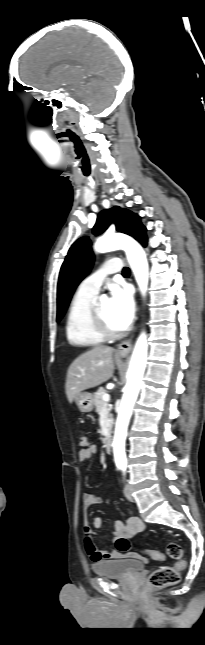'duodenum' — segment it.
<instances>
[{"instance_id":"obj_1","label":"duodenum","mask_w":205,"mask_h":645,"mask_svg":"<svg viewBox=\"0 0 205 645\" xmlns=\"http://www.w3.org/2000/svg\"><path fill=\"white\" fill-rule=\"evenodd\" d=\"M104 448L107 454H111L113 451V440L110 436H108L105 440L104 443Z\"/></svg>"}]
</instances>
